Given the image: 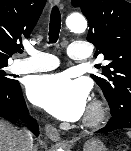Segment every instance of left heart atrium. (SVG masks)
I'll use <instances>...</instances> for the list:
<instances>
[{"label":"left heart atrium","instance_id":"left-heart-atrium-1","mask_svg":"<svg viewBox=\"0 0 131 151\" xmlns=\"http://www.w3.org/2000/svg\"><path fill=\"white\" fill-rule=\"evenodd\" d=\"M30 101L53 116L67 121L79 119L86 110L88 88L67 74L33 77L27 85Z\"/></svg>","mask_w":131,"mask_h":151}]
</instances>
